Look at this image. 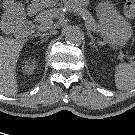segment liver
I'll return each instance as SVG.
<instances>
[{
    "label": "liver",
    "instance_id": "1",
    "mask_svg": "<svg viewBox=\"0 0 135 135\" xmlns=\"http://www.w3.org/2000/svg\"><path fill=\"white\" fill-rule=\"evenodd\" d=\"M26 39L0 36V93L14 96L18 92L16 65Z\"/></svg>",
    "mask_w": 135,
    "mask_h": 135
}]
</instances>
